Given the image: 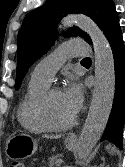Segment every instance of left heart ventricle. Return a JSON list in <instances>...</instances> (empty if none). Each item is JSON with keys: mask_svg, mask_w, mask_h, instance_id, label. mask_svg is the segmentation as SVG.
<instances>
[{"mask_svg": "<svg viewBox=\"0 0 125 167\" xmlns=\"http://www.w3.org/2000/svg\"><path fill=\"white\" fill-rule=\"evenodd\" d=\"M48 115L50 120L58 125L71 120L74 114L65 103L61 91L51 95L48 101Z\"/></svg>", "mask_w": 125, "mask_h": 167, "instance_id": "b2bd125f", "label": "left heart ventricle"}]
</instances>
